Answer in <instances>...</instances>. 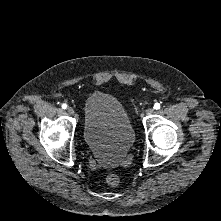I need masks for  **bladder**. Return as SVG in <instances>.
<instances>
[{
	"label": "bladder",
	"instance_id": "1",
	"mask_svg": "<svg viewBox=\"0 0 221 221\" xmlns=\"http://www.w3.org/2000/svg\"><path fill=\"white\" fill-rule=\"evenodd\" d=\"M83 134L95 158L110 167L119 163L135 140L134 127L123 104L102 92L85 99Z\"/></svg>",
	"mask_w": 221,
	"mask_h": 221
}]
</instances>
